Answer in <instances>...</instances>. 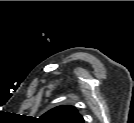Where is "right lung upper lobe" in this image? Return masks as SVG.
<instances>
[{"mask_svg":"<svg viewBox=\"0 0 134 123\" xmlns=\"http://www.w3.org/2000/svg\"><path fill=\"white\" fill-rule=\"evenodd\" d=\"M43 123H84L75 107L63 105L55 107L39 118Z\"/></svg>","mask_w":134,"mask_h":123,"instance_id":"1","label":"right lung upper lobe"}]
</instances>
